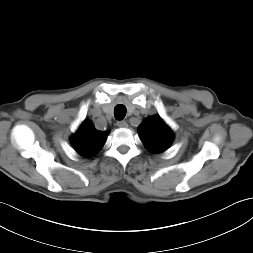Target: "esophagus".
<instances>
[{
    "label": "esophagus",
    "mask_w": 253,
    "mask_h": 253,
    "mask_svg": "<svg viewBox=\"0 0 253 253\" xmlns=\"http://www.w3.org/2000/svg\"><path fill=\"white\" fill-rule=\"evenodd\" d=\"M117 126L120 128H126V127H128V124L125 121H118Z\"/></svg>",
    "instance_id": "34e87169"
}]
</instances>
